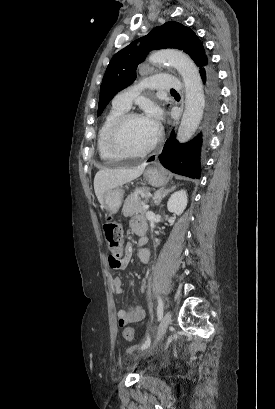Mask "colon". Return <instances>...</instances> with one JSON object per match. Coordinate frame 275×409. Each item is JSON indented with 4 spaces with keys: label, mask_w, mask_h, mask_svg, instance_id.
<instances>
[{
    "label": "colon",
    "mask_w": 275,
    "mask_h": 409,
    "mask_svg": "<svg viewBox=\"0 0 275 409\" xmlns=\"http://www.w3.org/2000/svg\"><path fill=\"white\" fill-rule=\"evenodd\" d=\"M103 231L108 248L113 254V257H122L123 247L121 242V224L115 220L107 218L103 222ZM123 336L127 342H132L134 340V329L130 326L125 327Z\"/></svg>",
    "instance_id": "1"
}]
</instances>
